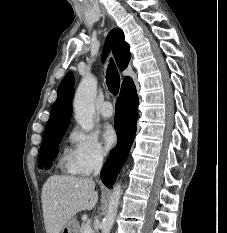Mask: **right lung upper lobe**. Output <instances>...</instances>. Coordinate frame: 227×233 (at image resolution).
I'll use <instances>...</instances> for the list:
<instances>
[{"mask_svg":"<svg viewBox=\"0 0 227 233\" xmlns=\"http://www.w3.org/2000/svg\"><path fill=\"white\" fill-rule=\"evenodd\" d=\"M109 49H112L113 56L120 70H124L128 66L131 55L129 46L124 40V34L120 29H113L108 34L105 43V52ZM130 81H132V79L129 77L124 79L121 86V92L125 91L129 87ZM73 94L74 78L72 72H69L59 85L57 99L52 105L44 138H51L66 131L70 121L69 116L72 111Z\"/></svg>","mask_w":227,"mask_h":233,"instance_id":"right-lung-upper-lobe-1","label":"right lung upper lobe"}]
</instances>
